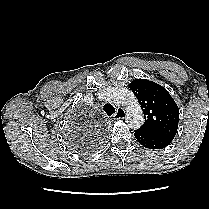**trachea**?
<instances>
[{
	"instance_id": "1",
	"label": "trachea",
	"mask_w": 209,
	"mask_h": 209,
	"mask_svg": "<svg viewBox=\"0 0 209 209\" xmlns=\"http://www.w3.org/2000/svg\"><path fill=\"white\" fill-rule=\"evenodd\" d=\"M103 110L108 116H111L112 114L115 113V108L109 103L103 106Z\"/></svg>"
}]
</instances>
